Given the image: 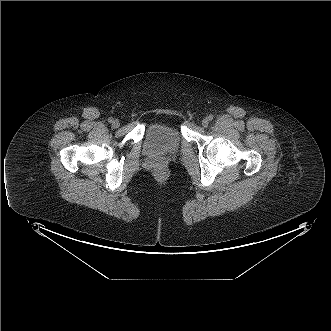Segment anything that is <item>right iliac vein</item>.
I'll list each match as a JSON object with an SVG mask.
<instances>
[{"label":"right iliac vein","mask_w":331,"mask_h":331,"mask_svg":"<svg viewBox=\"0 0 331 331\" xmlns=\"http://www.w3.org/2000/svg\"><path fill=\"white\" fill-rule=\"evenodd\" d=\"M120 126V122H119V120H113V122H112V127H114V128H118Z\"/></svg>","instance_id":"obj_1"}]
</instances>
